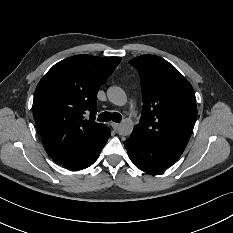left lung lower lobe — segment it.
<instances>
[{"mask_svg": "<svg viewBox=\"0 0 233 233\" xmlns=\"http://www.w3.org/2000/svg\"><path fill=\"white\" fill-rule=\"evenodd\" d=\"M128 155L137 168L147 173L158 172L178 160L181 152L152 143L136 132L124 141Z\"/></svg>", "mask_w": 233, "mask_h": 233, "instance_id": "1", "label": "left lung lower lobe"}]
</instances>
